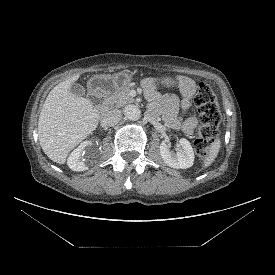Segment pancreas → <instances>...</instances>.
I'll list each match as a JSON object with an SVG mask.
<instances>
[{"instance_id": "obj_1", "label": "pancreas", "mask_w": 275, "mask_h": 275, "mask_svg": "<svg viewBox=\"0 0 275 275\" xmlns=\"http://www.w3.org/2000/svg\"><path fill=\"white\" fill-rule=\"evenodd\" d=\"M129 91H130V87L124 86L120 88L118 91H116L115 93L109 95L106 98V101L111 106L113 105H115L116 107L123 106L134 100L132 97H130Z\"/></svg>"}]
</instances>
